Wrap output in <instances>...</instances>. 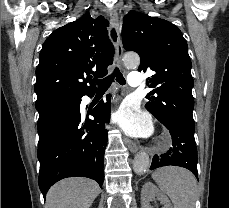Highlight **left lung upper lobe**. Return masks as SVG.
Instances as JSON below:
<instances>
[{
	"instance_id": "left-lung-upper-lobe-1",
	"label": "left lung upper lobe",
	"mask_w": 229,
	"mask_h": 208,
	"mask_svg": "<svg viewBox=\"0 0 229 208\" xmlns=\"http://www.w3.org/2000/svg\"><path fill=\"white\" fill-rule=\"evenodd\" d=\"M122 41L125 50L139 54V71L155 72L147 82L153 88L146 96L147 110L159 121L184 122L195 128L192 64L179 28L164 19L129 12L124 17Z\"/></svg>"
}]
</instances>
